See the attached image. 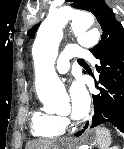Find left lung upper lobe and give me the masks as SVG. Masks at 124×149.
<instances>
[{"label":"left lung upper lobe","instance_id":"1","mask_svg":"<svg viewBox=\"0 0 124 149\" xmlns=\"http://www.w3.org/2000/svg\"><path fill=\"white\" fill-rule=\"evenodd\" d=\"M73 2L71 5L77 9L90 11L96 16L101 29L102 36L100 42L90 51L92 54L109 51L124 45V29L104 0H67ZM39 24L34 25L28 36L33 37Z\"/></svg>","mask_w":124,"mask_h":149}]
</instances>
